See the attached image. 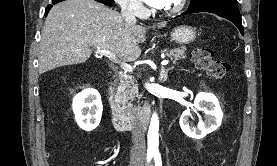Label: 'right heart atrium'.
<instances>
[{"instance_id": "1", "label": "right heart atrium", "mask_w": 277, "mask_h": 166, "mask_svg": "<svg viewBox=\"0 0 277 166\" xmlns=\"http://www.w3.org/2000/svg\"><path fill=\"white\" fill-rule=\"evenodd\" d=\"M119 7L130 14L140 15L144 12V7L140 0H115Z\"/></svg>"}]
</instances>
